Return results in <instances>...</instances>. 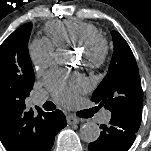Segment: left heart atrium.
Masks as SVG:
<instances>
[{
    "label": "left heart atrium",
    "mask_w": 151,
    "mask_h": 151,
    "mask_svg": "<svg viewBox=\"0 0 151 151\" xmlns=\"http://www.w3.org/2000/svg\"><path fill=\"white\" fill-rule=\"evenodd\" d=\"M45 85L62 102H71L77 94L87 88L86 80L78 74H66L62 71L50 72L45 78Z\"/></svg>",
    "instance_id": "1"
}]
</instances>
